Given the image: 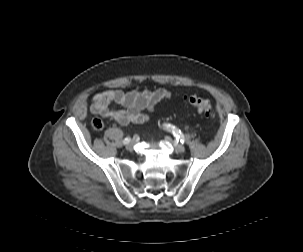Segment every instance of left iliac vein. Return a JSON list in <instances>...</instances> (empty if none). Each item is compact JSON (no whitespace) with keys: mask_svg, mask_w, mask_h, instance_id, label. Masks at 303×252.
Listing matches in <instances>:
<instances>
[{"mask_svg":"<svg viewBox=\"0 0 303 252\" xmlns=\"http://www.w3.org/2000/svg\"><path fill=\"white\" fill-rule=\"evenodd\" d=\"M165 140H166V142L171 143L178 153L184 152V150H185L184 146L182 144L178 143V141H172L170 137H166Z\"/></svg>","mask_w":303,"mask_h":252,"instance_id":"obj_1","label":"left iliac vein"}]
</instances>
